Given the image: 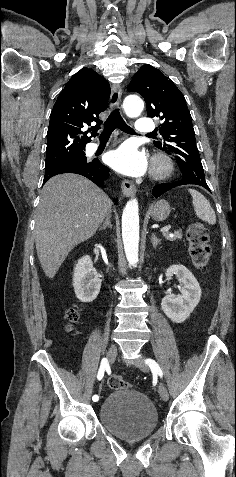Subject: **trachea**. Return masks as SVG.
I'll return each mask as SVG.
<instances>
[{"label":"trachea","instance_id":"trachea-1","mask_svg":"<svg viewBox=\"0 0 236 477\" xmlns=\"http://www.w3.org/2000/svg\"><path fill=\"white\" fill-rule=\"evenodd\" d=\"M119 128L120 130L134 134L135 131L126 124L122 116L120 115L119 109H115L111 112L108 119L106 120L103 131L100 135L101 138H109L115 128Z\"/></svg>","mask_w":236,"mask_h":477}]
</instances>
